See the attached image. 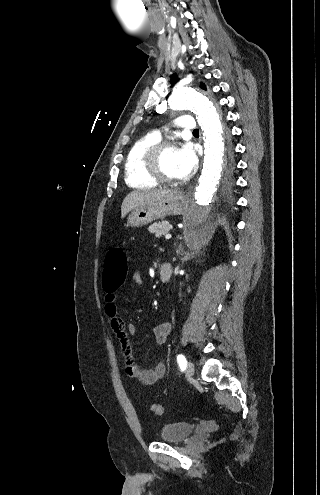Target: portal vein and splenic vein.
Returning a JSON list of instances; mask_svg holds the SVG:
<instances>
[{
    "instance_id": "obj_1",
    "label": "portal vein and splenic vein",
    "mask_w": 320,
    "mask_h": 495,
    "mask_svg": "<svg viewBox=\"0 0 320 495\" xmlns=\"http://www.w3.org/2000/svg\"><path fill=\"white\" fill-rule=\"evenodd\" d=\"M171 236H172L171 234H167V235L165 236V238H166V239H169V238H171Z\"/></svg>"
}]
</instances>
